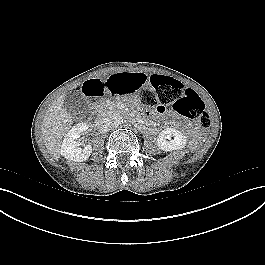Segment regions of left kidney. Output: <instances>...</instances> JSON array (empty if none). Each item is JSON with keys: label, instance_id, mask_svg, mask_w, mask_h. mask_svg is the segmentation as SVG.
I'll return each mask as SVG.
<instances>
[{"label": "left kidney", "instance_id": "left-kidney-1", "mask_svg": "<svg viewBox=\"0 0 265 265\" xmlns=\"http://www.w3.org/2000/svg\"><path fill=\"white\" fill-rule=\"evenodd\" d=\"M157 145L161 150L166 152L179 150L185 147L186 137L174 128H166L158 135Z\"/></svg>", "mask_w": 265, "mask_h": 265}]
</instances>
